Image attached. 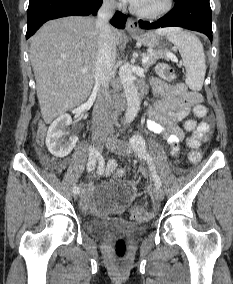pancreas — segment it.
<instances>
[{
	"label": "pancreas",
	"mask_w": 233,
	"mask_h": 284,
	"mask_svg": "<svg viewBox=\"0 0 233 284\" xmlns=\"http://www.w3.org/2000/svg\"><path fill=\"white\" fill-rule=\"evenodd\" d=\"M167 51L165 50H153L147 52L146 56L149 60L146 63H143V67L145 70H148L159 58H167L166 56Z\"/></svg>",
	"instance_id": "cf45deb5"
}]
</instances>
